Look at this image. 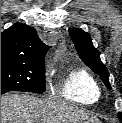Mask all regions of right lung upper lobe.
<instances>
[{
	"label": "right lung upper lobe",
	"mask_w": 122,
	"mask_h": 123,
	"mask_svg": "<svg viewBox=\"0 0 122 123\" xmlns=\"http://www.w3.org/2000/svg\"><path fill=\"white\" fill-rule=\"evenodd\" d=\"M48 49L28 25L16 23L1 33V57L44 59Z\"/></svg>",
	"instance_id": "right-lung-upper-lobe-1"
}]
</instances>
